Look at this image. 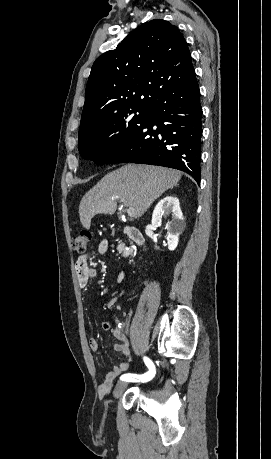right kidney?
I'll list each match as a JSON object with an SVG mask.
<instances>
[{
  "mask_svg": "<svg viewBox=\"0 0 271 459\" xmlns=\"http://www.w3.org/2000/svg\"><path fill=\"white\" fill-rule=\"evenodd\" d=\"M171 214V222H167V241L169 249H175L178 245L179 235L186 228L185 220L176 196H166L155 206L152 216V226H158L162 216Z\"/></svg>",
  "mask_w": 271,
  "mask_h": 459,
  "instance_id": "obj_1",
  "label": "right kidney"
}]
</instances>
